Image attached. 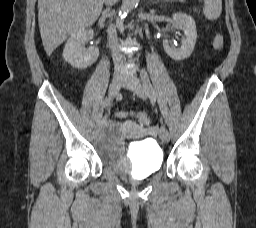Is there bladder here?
<instances>
[{
    "label": "bladder",
    "mask_w": 256,
    "mask_h": 228,
    "mask_svg": "<svg viewBox=\"0 0 256 228\" xmlns=\"http://www.w3.org/2000/svg\"><path fill=\"white\" fill-rule=\"evenodd\" d=\"M92 144L103 163L128 179L147 178L163 166V151L154 140L134 142L124 153V138L116 125L97 131Z\"/></svg>",
    "instance_id": "obj_1"
}]
</instances>
